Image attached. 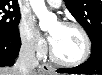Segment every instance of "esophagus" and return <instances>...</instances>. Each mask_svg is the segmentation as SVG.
<instances>
[{"instance_id": "1", "label": "esophagus", "mask_w": 102, "mask_h": 75, "mask_svg": "<svg viewBox=\"0 0 102 75\" xmlns=\"http://www.w3.org/2000/svg\"><path fill=\"white\" fill-rule=\"evenodd\" d=\"M41 70L45 74H53L54 73V68L48 64H43L41 67Z\"/></svg>"}]
</instances>
